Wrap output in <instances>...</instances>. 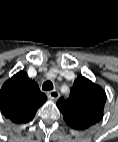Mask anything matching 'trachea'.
Listing matches in <instances>:
<instances>
[{"label":"trachea","mask_w":118,"mask_h":142,"mask_svg":"<svg viewBox=\"0 0 118 142\" xmlns=\"http://www.w3.org/2000/svg\"><path fill=\"white\" fill-rule=\"evenodd\" d=\"M42 89L45 90V91L52 90L53 89V83L51 81L44 82L43 85H42Z\"/></svg>","instance_id":"1"}]
</instances>
